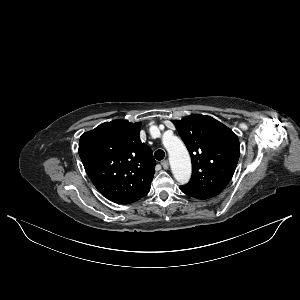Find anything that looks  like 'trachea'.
<instances>
[{
  "mask_svg": "<svg viewBox=\"0 0 300 300\" xmlns=\"http://www.w3.org/2000/svg\"><path fill=\"white\" fill-rule=\"evenodd\" d=\"M154 156L157 160H163L164 157H165V152L161 149L157 150L155 153H154Z\"/></svg>",
  "mask_w": 300,
  "mask_h": 300,
  "instance_id": "1",
  "label": "trachea"
}]
</instances>
